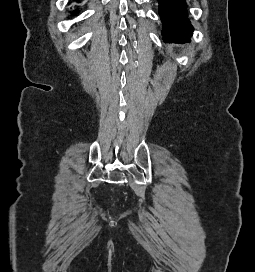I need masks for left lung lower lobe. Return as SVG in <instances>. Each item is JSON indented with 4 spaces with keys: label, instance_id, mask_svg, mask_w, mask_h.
I'll use <instances>...</instances> for the list:
<instances>
[{
    "label": "left lung lower lobe",
    "instance_id": "1",
    "mask_svg": "<svg viewBox=\"0 0 255 272\" xmlns=\"http://www.w3.org/2000/svg\"><path fill=\"white\" fill-rule=\"evenodd\" d=\"M165 42L190 41L193 28L187 19L185 0H158Z\"/></svg>",
    "mask_w": 255,
    "mask_h": 272
}]
</instances>
